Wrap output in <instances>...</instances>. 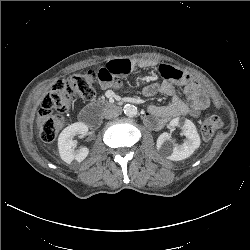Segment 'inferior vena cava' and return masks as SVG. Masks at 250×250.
<instances>
[{"label": "inferior vena cava", "mask_w": 250, "mask_h": 250, "mask_svg": "<svg viewBox=\"0 0 250 250\" xmlns=\"http://www.w3.org/2000/svg\"><path fill=\"white\" fill-rule=\"evenodd\" d=\"M120 112L121 111L119 108H110V109L106 110L104 117L106 119H113V118H116L117 116H119Z\"/></svg>", "instance_id": "602c4592"}]
</instances>
